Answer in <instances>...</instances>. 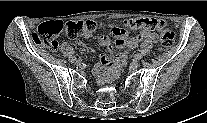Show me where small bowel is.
Instances as JSON below:
<instances>
[{"instance_id": "1", "label": "small bowel", "mask_w": 207, "mask_h": 123, "mask_svg": "<svg viewBox=\"0 0 207 123\" xmlns=\"http://www.w3.org/2000/svg\"><path fill=\"white\" fill-rule=\"evenodd\" d=\"M104 29H109L115 38V44L118 48L127 47L128 49H135L138 44L143 41L147 40L148 42H157L158 37L156 34L151 32L149 29H140L138 34L134 37H128L126 31L119 25V24H107L103 27ZM81 46L85 47L83 43H79ZM99 44L106 48L109 52L112 51V42L108 36H101L99 38ZM87 52H91L92 50L86 47ZM125 57L124 54L118 56L115 60V63L121 58ZM101 61L104 64L113 63V59L109 55H103L101 57Z\"/></svg>"}]
</instances>
